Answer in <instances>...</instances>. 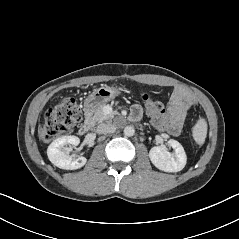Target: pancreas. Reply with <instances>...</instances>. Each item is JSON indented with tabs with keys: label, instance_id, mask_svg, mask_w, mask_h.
Listing matches in <instances>:
<instances>
[{
	"label": "pancreas",
	"instance_id": "1",
	"mask_svg": "<svg viewBox=\"0 0 239 239\" xmlns=\"http://www.w3.org/2000/svg\"><path fill=\"white\" fill-rule=\"evenodd\" d=\"M105 105L98 108L92 117L94 123H102L103 121H111L115 113L106 114L104 113Z\"/></svg>",
	"mask_w": 239,
	"mask_h": 239
}]
</instances>
